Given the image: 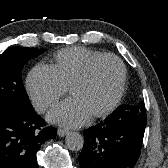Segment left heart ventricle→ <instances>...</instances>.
<instances>
[{"mask_svg": "<svg viewBox=\"0 0 168 168\" xmlns=\"http://www.w3.org/2000/svg\"><path fill=\"white\" fill-rule=\"evenodd\" d=\"M120 80L118 64L103 60L96 65L89 79L71 89L72 96L80 97L92 114L104 109L114 98Z\"/></svg>", "mask_w": 168, "mask_h": 168, "instance_id": "obj_1", "label": "left heart ventricle"}]
</instances>
